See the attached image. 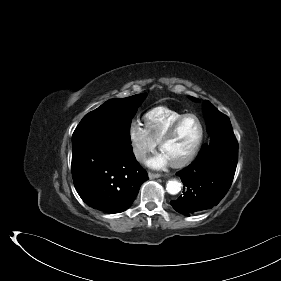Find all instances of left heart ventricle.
Segmentation results:
<instances>
[{
	"instance_id": "1",
	"label": "left heart ventricle",
	"mask_w": 281,
	"mask_h": 281,
	"mask_svg": "<svg viewBox=\"0 0 281 281\" xmlns=\"http://www.w3.org/2000/svg\"><path fill=\"white\" fill-rule=\"evenodd\" d=\"M199 124L194 117L185 119L177 132L162 148V153L170 162L176 161L189 153L199 137Z\"/></svg>"
}]
</instances>
